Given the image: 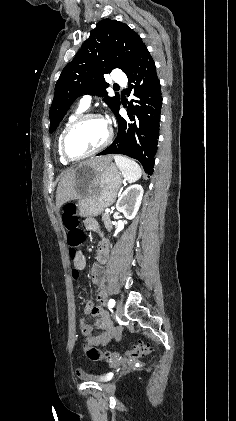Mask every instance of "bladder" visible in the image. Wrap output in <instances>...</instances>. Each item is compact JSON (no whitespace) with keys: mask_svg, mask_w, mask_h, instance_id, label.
Returning a JSON list of instances; mask_svg holds the SVG:
<instances>
[{"mask_svg":"<svg viewBox=\"0 0 236 421\" xmlns=\"http://www.w3.org/2000/svg\"><path fill=\"white\" fill-rule=\"evenodd\" d=\"M80 380H84V381H103L104 380V376L102 375H94L91 374L90 372H83L80 375Z\"/></svg>","mask_w":236,"mask_h":421,"instance_id":"bladder-1","label":"bladder"}]
</instances>
